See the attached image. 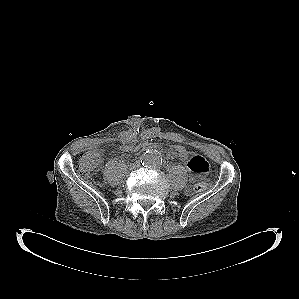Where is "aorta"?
<instances>
[{"label":"aorta","mask_w":299,"mask_h":299,"mask_svg":"<svg viewBox=\"0 0 299 299\" xmlns=\"http://www.w3.org/2000/svg\"><path fill=\"white\" fill-rule=\"evenodd\" d=\"M141 162L148 168L157 167L162 163V158L157 150H149L142 155Z\"/></svg>","instance_id":"obj_1"}]
</instances>
